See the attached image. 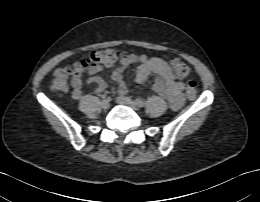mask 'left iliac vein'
<instances>
[{
	"mask_svg": "<svg viewBox=\"0 0 260 202\" xmlns=\"http://www.w3.org/2000/svg\"><path fill=\"white\" fill-rule=\"evenodd\" d=\"M117 103L122 104V105H126L134 110H138V106L135 104V102L126 96H120L116 99Z\"/></svg>",
	"mask_w": 260,
	"mask_h": 202,
	"instance_id": "obj_1",
	"label": "left iliac vein"
}]
</instances>
